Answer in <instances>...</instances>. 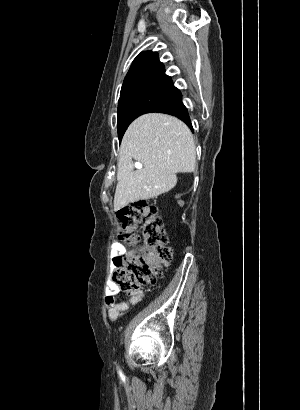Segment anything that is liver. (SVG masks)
Wrapping results in <instances>:
<instances>
[{"instance_id":"liver-1","label":"liver","mask_w":300,"mask_h":410,"mask_svg":"<svg viewBox=\"0 0 300 410\" xmlns=\"http://www.w3.org/2000/svg\"><path fill=\"white\" fill-rule=\"evenodd\" d=\"M119 155L114 211L170 191L177 183L176 173L193 172L196 162L190 129L161 113L134 120L123 136ZM133 159L144 168L134 170Z\"/></svg>"}]
</instances>
